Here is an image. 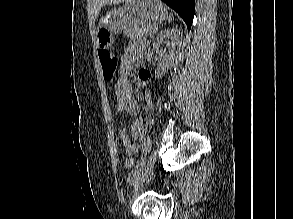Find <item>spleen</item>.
I'll use <instances>...</instances> for the list:
<instances>
[{
  "label": "spleen",
  "mask_w": 293,
  "mask_h": 219,
  "mask_svg": "<svg viewBox=\"0 0 293 219\" xmlns=\"http://www.w3.org/2000/svg\"><path fill=\"white\" fill-rule=\"evenodd\" d=\"M172 19H173V15H170L169 16V22L172 21Z\"/></svg>",
  "instance_id": "3e777b00"
}]
</instances>
